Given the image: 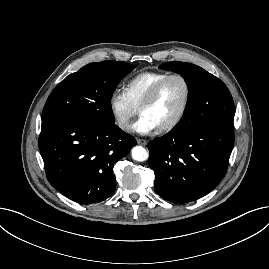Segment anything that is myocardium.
<instances>
[{"mask_svg":"<svg viewBox=\"0 0 269 269\" xmlns=\"http://www.w3.org/2000/svg\"><path fill=\"white\" fill-rule=\"evenodd\" d=\"M172 79H179L183 82V84L185 86V90H186L185 101H184L183 107L180 110L179 114L170 123L158 128V130L160 132H169V131L175 129L184 119V117L189 109V106L191 103V98H192V87H191L190 81L184 75L178 74V73L170 74V75L166 76L165 78L160 80L151 89V91L148 93V95L146 96V98L143 100V102L141 103V105L138 108L139 113H141L144 108L152 105L155 102V100L157 99L159 93L161 92V90L165 86V84Z\"/></svg>","mask_w":269,"mask_h":269,"instance_id":"myocardium-1","label":"myocardium"}]
</instances>
